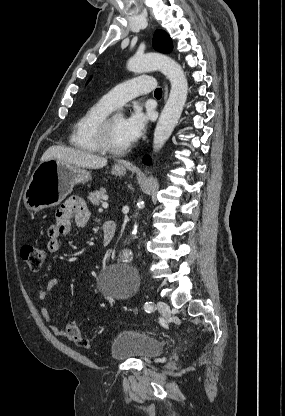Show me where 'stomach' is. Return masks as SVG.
Returning a JSON list of instances; mask_svg holds the SVG:
<instances>
[{
  "label": "stomach",
  "instance_id": "0dacf381",
  "mask_svg": "<svg viewBox=\"0 0 285 416\" xmlns=\"http://www.w3.org/2000/svg\"><path fill=\"white\" fill-rule=\"evenodd\" d=\"M127 166L115 164L111 174L125 176ZM91 180L90 172L78 166L65 164L60 160H48L37 166L23 196L27 210H43L61 204L62 200L72 192L76 184H85Z\"/></svg>",
  "mask_w": 285,
  "mask_h": 416
}]
</instances>
